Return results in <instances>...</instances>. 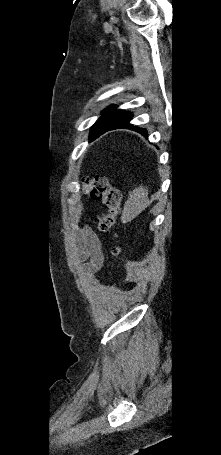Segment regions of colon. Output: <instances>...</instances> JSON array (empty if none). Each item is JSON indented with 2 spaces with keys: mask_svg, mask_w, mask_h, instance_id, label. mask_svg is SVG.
<instances>
[{
  "mask_svg": "<svg viewBox=\"0 0 221 455\" xmlns=\"http://www.w3.org/2000/svg\"><path fill=\"white\" fill-rule=\"evenodd\" d=\"M83 192L93 199L102 201L107 211L100 216L99 228L108 230L116 223L120 212L121 192L114 188L107 177L95 176L83 182ZM123 252L121 247L115 248V254Z\"/></svg>",
  "mask_w": 221,
  "mask_h": 455,
  "instance_id": "1",
  "label": "colon"
}]
</instances>
